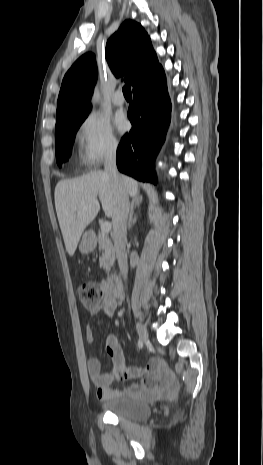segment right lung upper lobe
Masks as SVG:
<instances>
[{
    "instance_id": "1",
    "label": "right lung upper lobe",
    "mask_w": 263,
    "mask_h": 465,
    "mask_svg": "<svg viewBox=\"0 0 263 465\" xmlns=\"http://www.w3.org/2000/svg\"><path fill=\"white\" fill-rule=\"evenodd\" d=\"M105 57L116 77L128 74L124 81L133 87L152 76L161 65L150 38L137 22L126 20L107 41ZM97 79V66L92 53L82 55L65 74L58 102L57 120L60 122L70 114L91 109V98Z\"/></svg>"
}]
</instances>
